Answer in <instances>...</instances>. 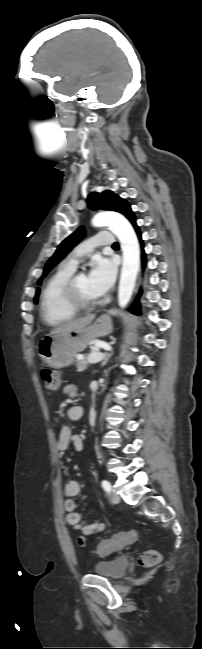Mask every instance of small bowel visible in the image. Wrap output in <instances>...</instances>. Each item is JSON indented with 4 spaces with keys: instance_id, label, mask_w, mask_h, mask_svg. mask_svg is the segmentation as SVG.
<instances>
[{
    "instance_id": "1",
    "label": "small bowel",
    "mask_w": 202,
    "mask_h": 649,
    "mask_svg": "<svg viewBox=\"0 0 202 649\" xmlns=\"http://www.w3.org/2000/svg\"><path fill=\"white\" fill-rule=\"evenodd\" d=\"M78 393L77 386L74 384H67L64 388V394L68 397H75ZM68 418L76 422L81 419L83 409L79 405H72L67 410ZM72 442L76 451L83 450V441L77 434H72L69 426H64L57 437L56 448L58 451H65ZM81 486L77 480L69 481L64 487V495L66 498V521L75 531H80L82 536L79 538V544L84 546L86 539L96 533L105 529V524L97 517L91 521L83 520L81 515L75 511L74 498L80 493Z\"/></svg>"
}]
</instances>
